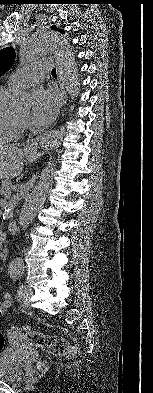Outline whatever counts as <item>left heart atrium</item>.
I'll list each match as a JSON object with an SVG mask.
<instances>
[{
	"mask_svg": "<svg viewBox=\"0 0 153 393\" xmlns=\"http://www.w3.org/2000/svg\"><path fill=\"white\" fill-rule=\"evenodd\" d=\"M60 96L54 89H38L34 93V105L31 123L35 126H47L56 117L60 107Z\"/></svg>",
	"mask_w": 153,
	"mask_h": 393,
	"instance_id": "39dd6f15",
	"label": "left heart atrium"
}]
</instances>
